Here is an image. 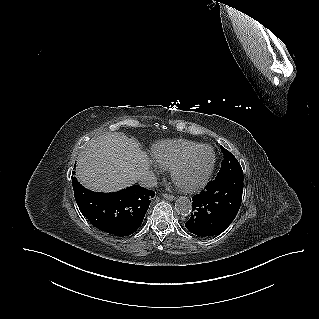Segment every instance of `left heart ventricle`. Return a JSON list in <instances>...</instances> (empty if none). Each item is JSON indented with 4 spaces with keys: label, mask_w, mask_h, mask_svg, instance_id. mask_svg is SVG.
Masks as SVG:
<instances>
[{
    "label": "left heart ventricle",
    "mask_w": 319,
    "mask_h": 319,
    "mask_svg": "<svg viewBox=\"0 0 319 319\" xmlns=\"http://www.w3.org/2000/svg\"><path fill=\"white\" fill-rule=\"evenodd\" d=\"M213 154L209 148L200 149L179 174L181 183L191 185L198 182L212 162Z\"/></svg>",
    "instance_id": "left-heart-ventricle-1"
}]
</instances>
